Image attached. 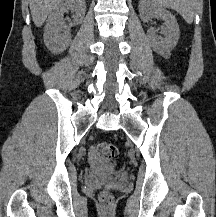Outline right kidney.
<instances>
[{"instance_id":"ca27d5eb","label":"right kidney","mask_w":216,"mask_h":217,"mask_svg":"<svg viewBox=\"0 0 216 217\" xmlns=\"http://www.w3.org/2000/svg\"><path fill=\"white\" fill-rule=\"evenodd\" d=\"M69 10L73 12L71 26L82 23L86 11L85 0H64L50 13L44 28V42L54 54L63 52L71 43L70 26L63 22L64 13Z\"/></svg>"}]
</instances>
